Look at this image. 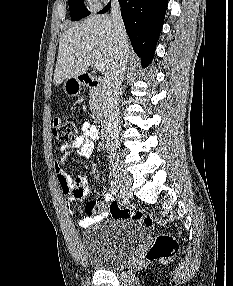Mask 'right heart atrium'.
I'll return each mask as SVG.
<instances>
[{
	"instance_id": "d8ad5b80",
	"label": "right heart atrium",
	"mask_w": 233,
	"mask_h": 286,
	"mask_svg": "<svg viewBox=\"0 0 233 286\" xmlns=\"http://www.w3.org/2000/svg\"><path fill=\"white\" fill-rule=\"evenodd\" d=\"M90 5L94 8H99L102 4V2H105L107 0H88Z\"/></svg>"
}]
</instances>
